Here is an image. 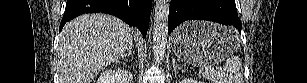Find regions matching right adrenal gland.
I'll return each mask as SVG.
<instances>
[{
  "label": "right adrenal gland",
  "instance_id": "right-adrenal-gland-1",
  "mask_svg": "<svg viewBox=\"0 0 307 83\" xmlns=\"http://www.w3.org/2000/svg\"><path fill=\"white\" fill-rule=\"evenodd\" d=\"M125 57H129L131 60H133L132 47L128 49L127 54H124V55L122 56V58H125Z\"/></svg>",
  "mask_w": 307,
  "mask_h": 83
}]
</instances>
